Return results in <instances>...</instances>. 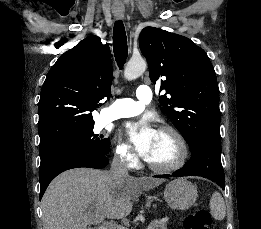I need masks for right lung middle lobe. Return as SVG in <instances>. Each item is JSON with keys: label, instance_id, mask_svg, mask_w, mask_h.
<instances>
[{"label": "right lung middle lobe", "instance_id": "1", "mask_svg": "<svg viewBox=\"0 0 261 229\" xmlns=\"http://www.w3.org/2000/svg\"><path fill=\"white\" fill-rule=\"evenodd\" d=\"M89 130L85 134L58 145L56 147L39 150L41 163L53 159L78 157V156H105L109 153L110 140L102 139Z\"/></svg>", "mask_w": 261, "mask_h": 229}]
</instances>
